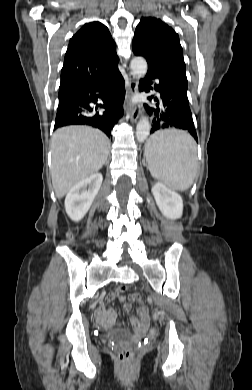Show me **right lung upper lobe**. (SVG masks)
Segmentation results:
<instances>
[{
	"label": "right lung upper lobe",
	"mask_w": 252,
	"mask_h": 390,
	"mask_svg": "<svg viewBox=\"0 0 252 390\" xmlns=\"http://www.w3.org/2000/svg\"><path fill=\"white\" fill-rule=\"evenodd\" d=\"M116 44L100 22L85 24L71 39L61 70L59 99L101 82L118 67Z\"/></svg>",
	"instance_id": "right-lung-upper-lobe-1"
}]
</instances>
